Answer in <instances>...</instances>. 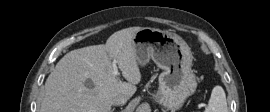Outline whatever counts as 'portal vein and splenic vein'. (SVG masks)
Masks as SVG:
<instances>
[{"label":"portal vein and splenic vein","mask_w":270,"mask_h":112,"mask_svg":"<svg viewBox=\"0 0 270 112\" xmlns=\"http://www.w3.org/2000/svg\"><path fill=\"white\" fill-rule=\"evenodd\" d=\"M112 67H113V74L115 76H118L119 75V71H118V67H117V65H116L115 62L113 63Z\"/></svg>","instance_id":"1"}]
</instances>
